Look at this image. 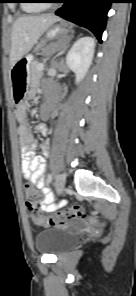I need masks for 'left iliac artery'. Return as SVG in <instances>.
Wrapping results in <instances>:
<instances>
[{
  "label": "left iliac artery",
  "instance_id": "obj_1",
  "mask_svg": "<svg viewBox=\"0 0 136 296\" xmlns=\"http://www.w3.org/2000/svg\"><path fill=\"white\" fill-rule=\"evenodd\" d=\"M52 184V175L49 174L48 175V185H51ZM52 193V192H51Z\"/></svg>",
  "mask_w": 136,
  "mask_h": 296
}]
</instances>
